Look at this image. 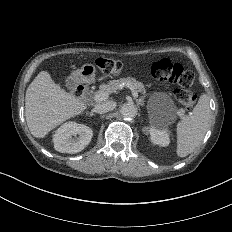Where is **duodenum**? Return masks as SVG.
Segmentation results:
<instances>
[{
    "instance_id": "410a0bca",
    "label": "duodenum",
    "mask_w": 232,
    "mask_h": 232,
    "mask_svg": "<svg viewBox=\"0 0 232 232\" xmlns=\"http://www.w3.org/2000/svg\"><path fill=\"white\" fill-rule=\"evenodd\" d=\"M85 92H86V87L84 84H82L80 82H76L74 84V93L76 96L83 97Z\"/></svg>"
}]
</instances>
